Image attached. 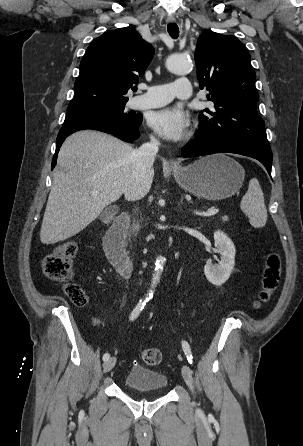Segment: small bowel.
<instances>
[{
  "label": "small bowel",
  "mask_w": 303,
  "mask_h": 446,
  "mask_svg": "<svg viewBox=\"0 0 303 446\" xmlns=\"http://www.w3.org/2000/svg\"><path fill=\"white\" fill-rule=\"evenodd\" d=\"M93 322H94V324H96V325H99V324H100V321H99L96 317H93Z\"/></svg>",
  "instance_id": "obj_1"
}]
</instances>
